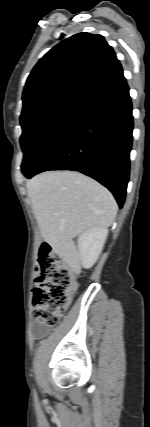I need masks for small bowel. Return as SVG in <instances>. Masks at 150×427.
<instances>
[{
	"mask_svg": "<svg viewBox=\"0 0 150 427\" xmlns=\"http://www.w3.org/2000/svg\"><path fill=\"white\" fill-rule=\"evenodd\" d=\"M47 333V329L42 325H34L32 328V336L35 339L43 337Z\"/></svg>",
	"mask_w": 150,
	"mask_h": 427,
	"instance_id": "c3829d8e",
	"label": "small bowel"
}]
</instances>
